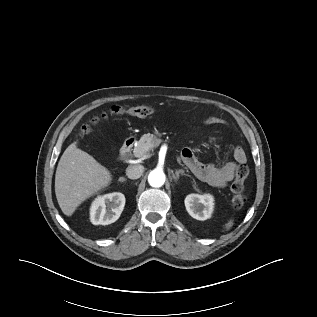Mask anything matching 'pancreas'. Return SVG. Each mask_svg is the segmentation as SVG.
<instances>
[{
	"label": "pancreas",
	"instance_id": "1",
	"mask_svg": "<svg viewBox=\"0 0 317 317\" xmlns=\"http://www.w3.org/2000/svg\"><path fill=\"white\" fill-rule=\"evenodd\" d=\"M157 145L158 142L155 135L150 133L144 134L133 149L134 156H148L149 151L153 150Z\"/></svg>",
	"mask_w": 317,
	"mask_h": 317
}]
</instances>
